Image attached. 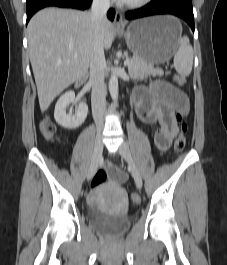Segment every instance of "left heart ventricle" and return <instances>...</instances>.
Returning <instances> with one entry per match:
<instances>
[{"label": "left heart ventricle", "instance_id": "left-heart-ventricle-1", "mask_svg": "<svg viewBox=\"0 0 227 265\" xmlns=\"http://www.w3.org/2000/svg\"><path fill=\"white\" fill-rule=\"evenodd\" d=\"M133 1H137V0H126L125 2H133Z\"/></svg>", "mask_w": 227, "mask_h": 265}]
</instances>
